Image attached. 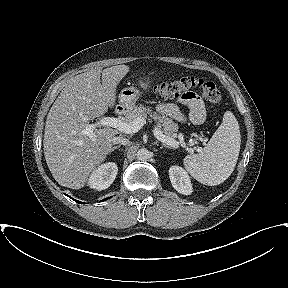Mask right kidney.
I'll return each instance as SVG.
<instances>
[{"mask_svg": "<svg viewBox=\"0 0 288 288\" xmlns=\"http://www.w3.org/2000/svg\"><path fill=\"white\" fill-rule=\"evenodd\" d=\"M118 172L117 165L113 162H108L99 166L90 175L88 185L96 190H104L108 188L116 178Z\"/></svg>", "mask_w": 288, "mask_h": 288, "instance_id": "ca27d5eb", "label": "right kidney"}]
</instances>
